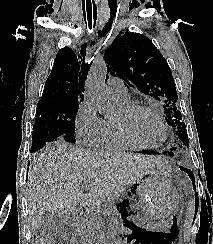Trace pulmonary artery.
Returning <instances> with one entry per match:
<instances>
[{
    "label": "pulmonary artery",
    "mask_w": 213,
    "mask_h": 244,
    "mask_svg": "<svg viewBox=\"0 0 213 244\" xmlns=\"http://www.w3.org/2000/svg\"><path fill=\"white\" fill-rule=\"evenodd\" d=\"M107 91L124 102L130 100L127 89L119 77H110L107 80Z\"/></svg>",
    "instance_id": "obj_1"
}]
</instances>
